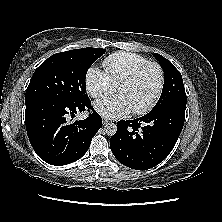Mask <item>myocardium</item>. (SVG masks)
Instances as JSON below:
<instances>
[{"mask_svg":"<svg viewBox=\"0 0 222 222\" xmlns=\"http://www.w3.org/2000/svg\"><path fill=\"white\" fill-rule=\"evenodd\" d=\"M148 67H154L157 70L158 86H157V89H156L154 95L152 96V98L144 106L132 110V112L134 114H145L149 110H151L153 108V106L157 103L158 99L160 98V96L162 94L163 87H164L165 76H164L163 68L157 62L148 61V62L138 66L135 70H133L117 86V88H119L122 85L132 83Z\"/></svg>","mask_w":222,"mask_h":222,"instance_id":"obj_1","label":"myocardium"}]
</instances>
